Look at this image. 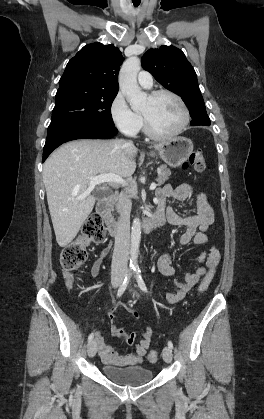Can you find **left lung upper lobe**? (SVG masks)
Wrapping results in <instances>:
<instances>
[{
    "label": "left lung upper lobe",
    "instance_id": "5c2ea615",
    "mask_svg": "<svg viewBox=\"0 0 264 419\" xmlns=\"http://www.w3.org/2000/svg\"><path fill=\"white\" fill-rule=\"evenodd\" d=\"M142 65L162 86L182 98L191 117L203 114L209 118L195 70L180 49L174 46L150 49L144 54Z\"/></svg>",
    "mask_w": 264,
    "mask_h": 419
}]
</instances>
